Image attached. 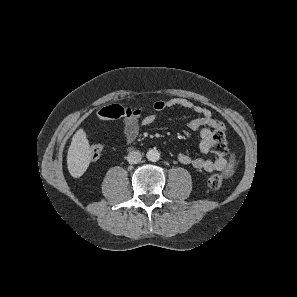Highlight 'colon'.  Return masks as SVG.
I'll use <instances>...</instances> for the list:
<instances>
[{"label": "colon", "mask_w": 297, "mask_h": 297, "mask_svg": "<svg viewBox=\"0 0 297 297\" xmlns=\"http://www.w3.org/2000/svg\"><path fill=\"white\" fill-rule=\"evenodd\" d=\"M138 108H130L123 104H112L102 108L99 111V115L103 119H118L120 117H129L136 113ZM103 151V147L99 144L92 145L90 148V156L92 160H96L100 157ZM212 151L216 155L224 156L227 154L228 146L224 132L220 129H216L213 135ZM223 183V178L219 174H214L208 179V186L211 189H218Z\"/></svg>", "instance_id": "1"}]
</instances>
